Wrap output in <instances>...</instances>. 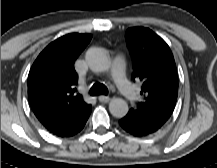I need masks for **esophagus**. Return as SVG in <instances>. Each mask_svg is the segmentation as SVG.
I'll return each mask as SVG.
<instances>
[{
    "label": "esophagus",
    "instance_id": "1",
    "mask_svg": "<svg viewBox=\"0 0 217 168\" xmlns=\"http://www.w3.org/2000/svg\"><path fill=\"white\" fill-rule=\"evenodd\" d=\"M98 100L101 103H107V102H109L110 98L108 96L101 95V96L98 97Z\"/></svg>",
    "mask_w": 217,
    "mask_h": 168
}]
</instances>
